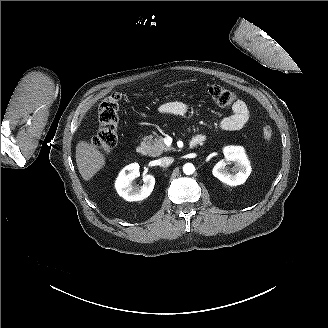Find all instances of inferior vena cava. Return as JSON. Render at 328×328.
<instances>
[{
    "label": "inferior vena cava",
    "mask_w": 328,
    "mask_h": 328,
    "mask_svg": "<svg viewBox=\"0 0 328 328\" xmlns=\"http://www.w3.org/2000/svg\"><path fill=\"white\" fill-rule=\"evenodd\" d=\"M173 161L174 159L172 157H162L159 159V166L168 167Z\"/></svg>",
    "instance_id": "obj_1"
}]
</instances>
